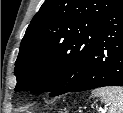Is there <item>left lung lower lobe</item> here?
Instances as JSON below:
<instances>
[{
	"label": "left lung lower lobe",
	"mask_w": 123,
	"mask_h": 113,
	"mask_svg": "<svg viewBox=\"0 0 123 113\" xmlns=\"http://www.w3.org/2000/svg\"><path fill=\"white\" fill-rule=\"evenodd\" d=\"M103 86H123V0H116L103 17L85 74L65 93Z\"/></svg>",
	"instance_id": "0a47b994"
}]
</instances>
